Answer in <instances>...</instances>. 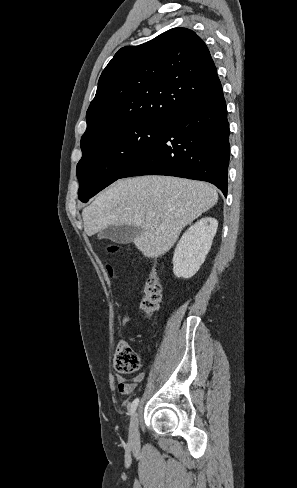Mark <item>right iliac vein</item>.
<instances>
[{
	"mask_svg": "<svg viewBox=\"0 0 297 488\" xmlns=\"http://www.w3.org/2000/svg\"><path fill=\"white\" fill-rule=\"evenodd\" d=\"M129 444L132 447L139 445V420L137 413H134L129 425Z\"/></svg>",
	"mask_w": 297,
	"mask_h": 488,
	"instance_id": "1",
	"label": "right iliac vein"
}]
</instances>
